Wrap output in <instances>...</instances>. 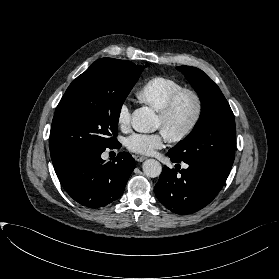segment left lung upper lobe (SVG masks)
<instances>
[{
  "label": "left lung upper lobe",
  "instance_id": "left-lung-upper-lobe-1",
  "mask_svg": "<svg viewBox=\"0 0 279 279\" xmlns=\"http://www.w3.org/2000/svg\"><path fill=\"white\" fill-rule=\"evenodd\" d=\"M198 94L201 116L192 132L168 154L178 161L206 164L229 174L234 162L236 127L234 114L219 87L202 70L178 66Z\"/></svg>",
  "mask_w": 279,
  "mask_h": 279
}]
</instances>
